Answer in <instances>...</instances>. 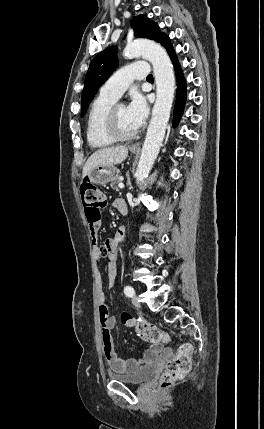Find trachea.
<instances>
[{"label": "trachea", "mask_w": 264, "mask_h": 429, "mask_svg": "<svg viewBox=\"0 0 264 429\" xmlns=\"http://www.w3.org/2000/svg\"><path fill=\"white\" fill-rule=\"evenodd\" d=\"M152 79H153V76L151 74L147 76V80H152Z\"/></svg>", "instance_id": "3493384b"}]
</instances>
